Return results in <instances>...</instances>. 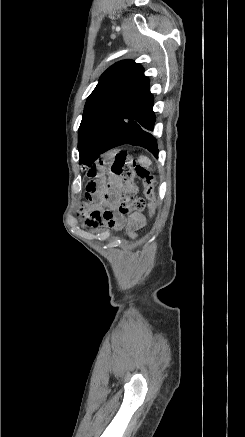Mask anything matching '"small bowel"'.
<instances>
[{
  "mask_svg": "<svg viewBox=\"0 0 245 437\" xmlns=\"http://www.w3.org/2000/svg\"><path fill=\"white\" fill-rule=\"evenodd\" d=\"M114 157L112 154H101L96 166H91L87 177L90 180L87 184V193L90 197L96 192H101V183H96L95 180H104L111 168L114 166ZM122 184L118 178H113L110 181V188L105 193V206L107 209L103 211H96L89 220L90 226H98L101 222L106 223L109 227L120 229L125 227L132 237L136 236V231L140 229L145 223V217L141 213H133L128 220L121 215L115 214L112 210L115 209L118 202V195L121 191Z\"/></svg>",
  "mask_w": 245,
  "mask_h": 437,
  "instance_id": "1",
  "label": "small bowel"
}]
</instances>
